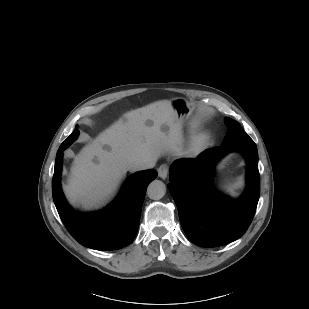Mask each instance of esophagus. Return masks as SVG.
I'll use <instances>...</instances> for the list:
<instances>
[{"label": "esophagus", "instance_id": "esophagus-1", "mask_svg": "<svg viewBox=\"0 0 309 309\" xmlns=\"http://www.w3.org/2000/svg\"><path fill=\"white\" fill-rule=\"evenodd\" d=\"M168 175V166L166 164H162L158 168V176L162 179H166Z\"/></svg>", "mask_w": 309, "mask_h": 309}]
</instances>
